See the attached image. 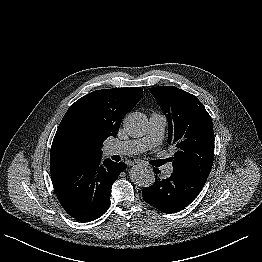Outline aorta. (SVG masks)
I'll return each instance as SVG.
<instances>
[{"label":"aorta","mask_w":262,"mask_h":262,"mask_svg":"<svg viewBox=\"0 0 262 262\" xmlns=\"http://www.w3.org/2000/svg\"><path fill=\"white\" fill-rule=\"evenodd\" d=\"M124 130L131 137H141L147 131V118L143 113L133 112L123 120ZM132 182L141 187H149L155 182V174L152 170L142 167H134L130 171Z\"/></svg>","instance_id":"obj_1"}]
</instances>
